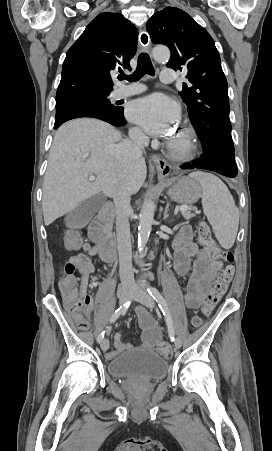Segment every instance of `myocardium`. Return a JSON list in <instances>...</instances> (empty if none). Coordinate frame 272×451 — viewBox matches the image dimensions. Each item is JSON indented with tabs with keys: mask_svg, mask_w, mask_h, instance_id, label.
<instances>
[{
	"mask_svg": "<svg viewBox=\"0 0 272 451\" xmlns=\"http://www.w3.org/2000/svg\"><path fill=\"white\" fill-rule=\"evenodd\" d=\"M193 136H194V134H193V132H192V130L190 128H187V127L184 128L183 129L184 142L181 143V144H178L176 146V149L178 151H186V150H188L190 148V146H191V142L193 140Z\"/></svg>",
	"mask_w": 272,
	"mask_h": 451,
	"instance_id": "obj_1",
	"label": "myocardium"
}]
</instances>
